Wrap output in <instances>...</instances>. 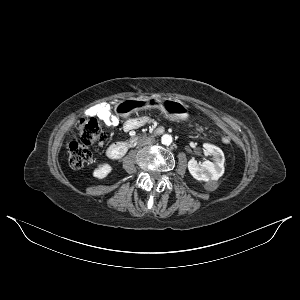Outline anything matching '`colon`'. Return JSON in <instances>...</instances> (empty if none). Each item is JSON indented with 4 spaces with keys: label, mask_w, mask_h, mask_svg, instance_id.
<instances>
[{
    "label": "colon",
    "mask_w": 300,
    "mask_h": 300,
    "mask_svg": "<svg viewBox=\"0 0 300 300\" xmlns=\"http://www.w3.org/2000/svg\"><path fill=\"white\" fill-rule=\"evenodd\" d=\"M107 139V133L101 129L96 119L84 120L79 125V139L73 138L68 144L70 166L74 169L83 167L92 158L90 147L102 146Z\"/></svg>",
    "instance_id": "1"
}]
</instances>
